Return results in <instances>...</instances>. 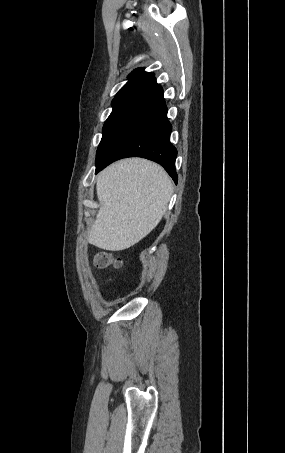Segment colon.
Returning a JSON list of instances; mask_svg holds the SVG:
<instances>
[{"label": "colon", "mask_w": 285, "mask_h": 453, "mask_svg": "<svg viewBox=\"0 0 285 453\" xmlns=\"http://www.w3.org/2000/svg\"><path fill=\"white\" fill-rule=\"evenodd\" d=\"M94 264L98 268H107L110 266L120 268L122 261L108 251H100L94 256Z\"/></svg>", "instance_id": "5ec220e1"}]
</instances>
